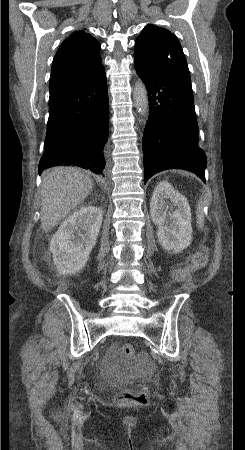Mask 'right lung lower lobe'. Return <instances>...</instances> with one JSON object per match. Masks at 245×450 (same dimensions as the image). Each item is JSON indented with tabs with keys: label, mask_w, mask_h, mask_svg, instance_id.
<instances>
[{
	"label": "right lung lower lobe",
	"mask_w": 245,
	"mask_h": 450,
	"mask_svg": "<svg viewBox=\"0 0 245 450\" xmlns=\"http://www.w3.org/2000/svg\"><path fill=\"white\" fill-rule=\"evenodd\" d=\"M109 102L104 67L49 103V119L39 174L54 165H74L105 176Z\"/></svg>",
	"instance_id": "98d812e1"
}]
</instances>
